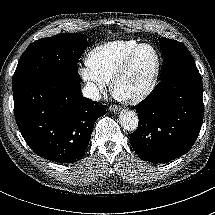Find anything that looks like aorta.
Here are the masks:
<instances>
[{
    "label": "aorta",
    "instance_id": "762f6f07",
    "mask_svg": "<svg viewBox=\"0 0 215 215\" xmlns=\"http://www.w3.org/2000/svg\"><path fill=\"white\" fill-rule=\"evenodd\" d=\"M119 120L121 126L127 131L134 132L138 128L139 118L134 111H123Z\"/></svg>",
    "mask_w": 215,
    "mask_h": 215
}]
</instances>
